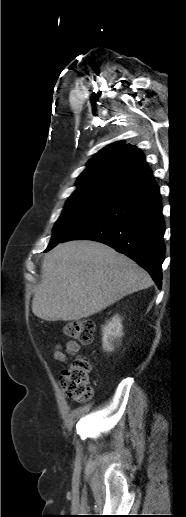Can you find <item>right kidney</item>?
I'll list each match as a JSON object with an SVG mask.
<instances>
[{"instance_id": "1", "label": "right kidney", "mask_w": 186, "mask_h": 517, "mask_svg": "<svg viewBox=\"0 0 186 517\" xmlns=\"http://www.w3.org/2000/svg\"><path fill=\"white\" fill-rule=\"evenodd\" d=\"M121 321L122 320L119 315H115L105 326H103L102 343L104 350L113 351L121 344V337L123 336Z\"/></svg>"}]
</instances>
